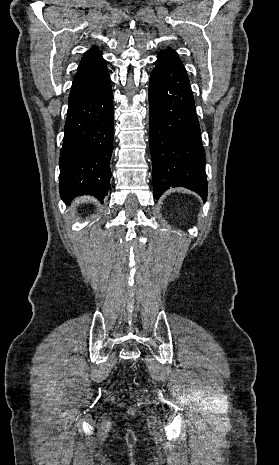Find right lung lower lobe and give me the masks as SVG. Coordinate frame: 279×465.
<instances>
[{
  "instance_id": "1",
  "label": "right lung lower lobe",
  "mask_w": 279,
  "mask_h": 465,
  "mask_svg": "<svg viewBox=\"0 0 279 465\" xmlns=\"http://www.w3.org/2000/svg\"><path fill=\"white\" fill-rule=\"evenodd\" d=\"M113 95L109 74L69 103L60 153V196L89 194L103 203L111 177Z\"/></svg>"
}]
</instances>
